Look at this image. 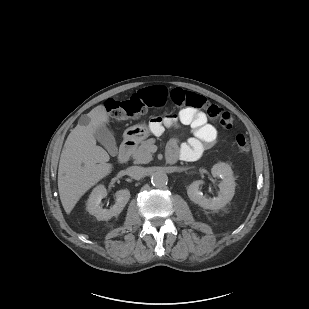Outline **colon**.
<instances>
[{
	"mask_svg": "<svg viewBox=\"0 0 309 309\" xmlns=\"http://www.w3.org/2000/svg\"><path fill=\"white\" fill-rule=\"evenodd\" d=\"M168 98L177 107L202 109L207 115L223 128L229 129L233 124V117L229 112L213 104L201 94L176 87L168 90L164 86H155L141 91L126 100L108 99L104 102L105 110L116 120L122 121L138 117L152 107H162ZM235 145L239 152L250 150L248 138L243 134L235 136Z\"/></svg>",
	"mask_w": 309,
	"mask_h": 309,
	"instance_id": "5ec220e1",
	"label": "colon"
}]
</instances>
